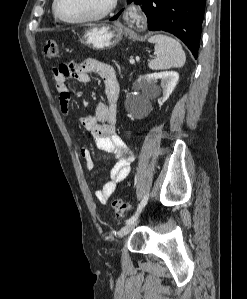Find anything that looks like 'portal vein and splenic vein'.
<instances>
[{
    "mask_svg": "<svg viewBox=\"0 0 247 299\" xmlns=\"http://www.w3.org/2000/svg\"><path fill=\"white\" fill-rule=\"evenodd\" d=\"M130 64H135V60L133 58L130 59Z\"/></svg>",
    "mask_w": 247,
    "mask_h": 299,
    "instance_id": "portal-vein-and-splenic-vein-1",
    "label": "portal vein and splenic vein"
}]
</instances>
